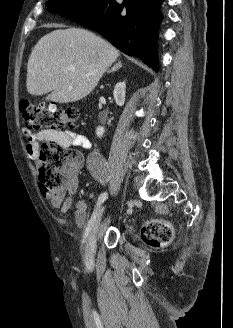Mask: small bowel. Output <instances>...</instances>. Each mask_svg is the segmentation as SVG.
<instances>
[{
	"mask_svg": "<svg viewBox=\"0 0 233 328\" xmlns=\"http://www.w3.org/2000/svg\"><path fill=\"white\" fill-rule=\"evenodd\" d=\"M24 134L27 139L26 150L31 157L36 155L39 143L46 140L55 141L63 148L74 146L86 150L91 147V142L86 136L70 130H42L33 133L29 128H25ZM77 188L78 182L74 178L60 189L46 191L40 188V191L53 207L59 208L63 213L74 207L76 221L79 225H82L86 219V206L83 202L75 200Z\"/></svg>",
	"mask_w": 233,
	"mask_h": 328,
	"instance_id": "obj_1",
	"label": "small bowel"
}]
</instances>
